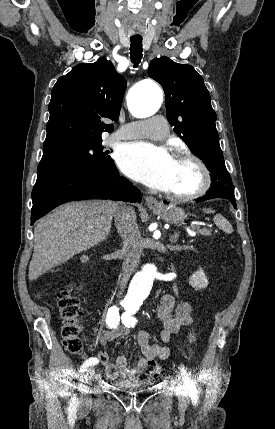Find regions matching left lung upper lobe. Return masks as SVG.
<instances>
[{
	"label": "left lung upper lobe",
	"instance_id": "left-lung-upper-lobe-1",
	"mask_svg": "<svg viewBox=\"0 0 275 429\" xmlns=\"http://www.w3.org/2000/svg\"><path fill=\"white\" fill-rule=\"evenodd\" d=\"M148 75L163 87L168 121L206 164L211 173V186L226 184L234 188L219 145L216 113L203 78L192 66L164 56L150 62Z\"/></svg>",
	"mask_w": 275,
	"mask_h": 429
}]
</instances>
